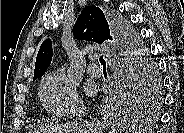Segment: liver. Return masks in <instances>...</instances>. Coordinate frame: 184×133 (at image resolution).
Wrapping results in <instances>:
<instances>
[{
	"label": "liver",
	"mask_w": 184,
	"mask_h": 133,
	"mask_svg": "<svg viewBox=\"0 0 184 133\" xmlns=\"http://www.w3.org/2000/svg\"><path fill=\"white\" fill-rule=\"evenodd\" d=\"M85 125H88L90 128L93 129V133H98L100 130V125H91V124H72V125H61L59 127H45L42 128L40 131H37V133H85V131H88L85 129ZM142 131V130H141ZM144 131V130H143Z\"/></svg>",
	"instance_id": "liver-1"
}]
</instances>
